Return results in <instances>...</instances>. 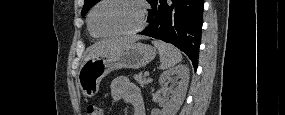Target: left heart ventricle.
<instances>
[{"label": "left heart ventricle", "instance_id": "1", "mask_svg": "<svg viewBox=\"0 0 285 115\" xmlns=\"http://www.w3.org/2000/svg\"><path fill=\"white\" fill-rule=\"evenodd\" d=\"M139 23L138 7L127 1H107L93 15V26L98 32L129 31L137 28Z\"/></svg>", "mask_w": 285, "mask_h": 115}]
</instances>
